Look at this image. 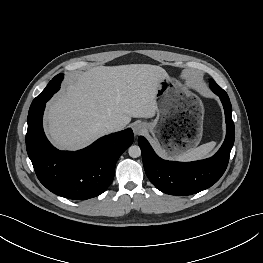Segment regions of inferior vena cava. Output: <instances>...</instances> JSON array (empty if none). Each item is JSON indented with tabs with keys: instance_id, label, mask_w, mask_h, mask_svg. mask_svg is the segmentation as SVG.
Wrapping results in <instances>:
<instances>
[{
	"instance_id": "602c4592",
	"label": "inferior vena cava",
	"mask_w": 263,
	"mask_h": 263,
	"mask_svg": "<svg viewBox=\"0 0 263 263\" xmlns=\"http://www.w3.org/2000/svg\"><path fill=\"white\" fill-rule=\"evenodd\" d=\"M105 127L109 132H115L122 129L120 123L117 121H109L105 124Z\"/></svg>"
}]
</instances>
